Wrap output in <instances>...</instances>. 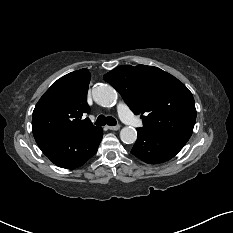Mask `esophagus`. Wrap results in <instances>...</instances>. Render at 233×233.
I'll use <instances>...</instances> for the list:
<instances>
[{"label":"esophagus","instance_id":"1","mask_svg":"<svg viewBox=\"0 0 233 233\" xmlns=\"http://www.w3.org/2000/svg\"><path fill=\"white\" fill-rule=\"evenodd\" d=\"M108 129L113 130V131H117L120 129V125L108 126Z\"/></svg>","mask_w":233,"mask_h":233}]
</instances>
